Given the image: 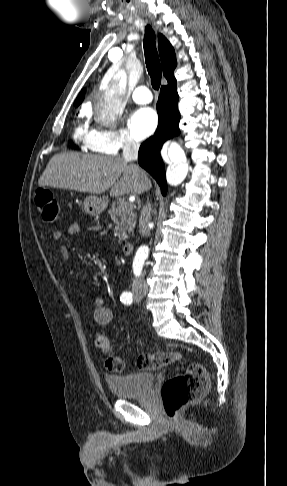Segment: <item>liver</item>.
<instances>
[{
    "label": "liver",
    "instance_id": "obj_1",
    "mask_svg": "<svg viewBox=\"0 0 287 486\" xmlns=\"http://www.w3.org/2000/svg\"><path fill=\"white\" fill-rule=\"evenodd\" d=\"M39 186L110 195L141 194L151 187L145 172L122 157L77 153L55 154L38 181Z\"/></svg>",
    "mask_w": 287,
    "mask_h": 486
}]
</instances>
